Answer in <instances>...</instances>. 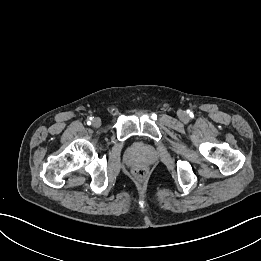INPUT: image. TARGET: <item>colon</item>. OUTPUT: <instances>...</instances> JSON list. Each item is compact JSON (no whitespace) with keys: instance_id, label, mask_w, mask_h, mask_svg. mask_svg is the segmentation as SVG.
Segmentation results:
<instances>
[{"instance_id":"obj_1","label":"colon","mask_w":261,"mask_h":261,"mask_svg":"<svg viewBox=\"0 0 261 261\" xmlns=\"http://www.w3.org/2000/svg\"><path fill=\"white\" fill-rule=\"evenodd\" d=\"M145 175V170L142 168H139L135 171V176L138 178H142Z\"/></svg>"}]
</instances>
